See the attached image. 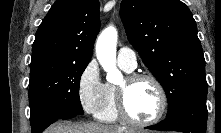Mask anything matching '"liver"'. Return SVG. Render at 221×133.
<instances>
[{
	"instance_id": "6515ba94",
	"label": "liver",
	"mask_w": 221,
	"mask_h": 133,
	"mask_svg": "<svg viewBox=\"0 0 221 133\" xmlns=\"http://www.w3.org/2000/svg\"><path fill=\"white\" fill-rule=\"evenodd\" d=\"M137 130L103 125L99 123H72L59 121L51 125L44 133H137Z\"/></svg>"
}]
</instances>
